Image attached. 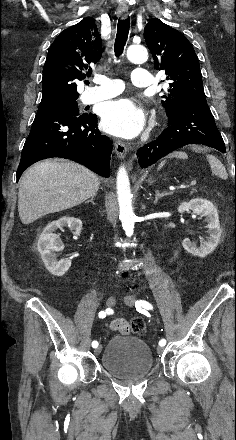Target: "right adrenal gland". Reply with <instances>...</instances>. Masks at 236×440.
Returning a JSON list of instances; mask_svg holds the SVG:
<instances>
[{
  "label": "right adrenal gland",
  "mask_w": 236,
  "mask_h": 440,
  "mask_svg": "<svg viewBox=\"0 0 236 440\" xmlns=\"http://www.w3.org/2000/svg\"><path fill=\"white\" fill-rule=\"evenodd\" d=\"M95 196H96V195L92 196L91 199L88 200V201H86L85 203H89V202H91L93 205H95V203H94V198H95Z\"/></svg>",
  "instance_id": "obj_1"
}]
</instances>
